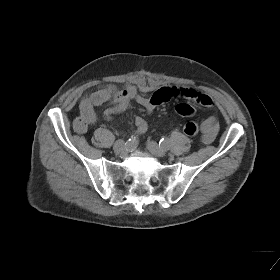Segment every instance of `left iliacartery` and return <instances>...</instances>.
I'll return each mask as SVG.
<instances>
[{"label":"left iliac artery","mask_w":280,"mask_h":280,"mask_svg":"<svg viewBox=\"0 0 280 280\" xmlns=\"http://www.w3.org/2000/svg\"><path fill=\"white\" fill-rule=\"evenodd\" d=\"M160 143L162 146L164 147H169L170 146V143H171V140L168 138V137H165V138H162L160 140Z\"/></svg>","instance_id":"44dca946"}]
</instances>
